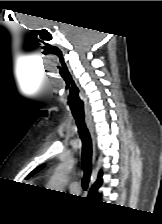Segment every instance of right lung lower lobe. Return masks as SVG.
<instances>
[{
  "mask_svg": "<svg viewBox=\"0 0 162 224\" xmlns=\"http://www.w3.org/2000/svg\"><path fill=\"white\" fill-rule=\"evenodd\" d=\"M93 198H95V199H100L101 196L97 193Z\"/></svg>",
  "mask_w": 162,
  "mask_h": 224,
  "instance_id": "98d812e1",
  "label": "right lung lower lobe"
}]
</instances>
